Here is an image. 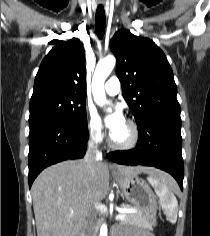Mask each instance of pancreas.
Listing matches in <instances>:
<instances>
[{
  "mask_svg": "<svg viewBox=\"0 0 210 236\" xmlns=\"http://www.w3.org/2000/svg\"><path fill=\"white\" fill-rule=\"evenodd\" d=\"M121 207L124 209H133V206L129 204H122ZM121 223L132 224V225H137L139 227L151 229V225L140 211L133 213H125V218L121 220Z\"/></svg>",
  "mask_w": 210,
  "mask_h": 236,
  "instance_id": "1",
  "label": "pancreas"
}]
</instances>
